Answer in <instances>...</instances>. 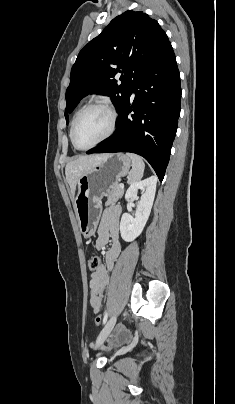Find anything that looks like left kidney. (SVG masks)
Instances as JSON below:
<instances>
[{
	"label": "left kidney",
	"instance_id": "obj_1",
	"mask_svg": "<svg viewBox=\"0 0 235 404\" xmlns=\"http://www.w3.org/2000/svg\"><path fill=\"white\" fill-rule=\"evenodd\" d=\"M156 184L157 178L151 176L145 180L132 183L127 189L126 200H137L138 190H143V193L136 209L135 218L128 213H124L121 217L120 233L124 241L132 242L142 233L152 209Z\"/></svg>",
	"mask_w": 235,
	"mask_h": 404
}]
</instances>
